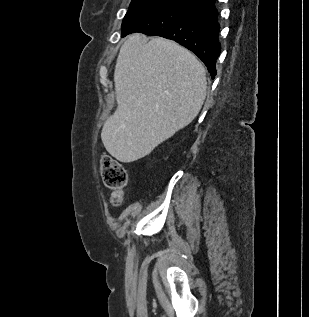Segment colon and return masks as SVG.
Here are the masks:
<instances>
[{"mask_svg": "<svg viewBox=\"0 0 309 317\" xmlns=\"http://www.w3.org/2000/svg\"><path fill=\"white\" fill-rule=\"evenodd\" d=\"M101 175L104 184L113 191L112 204L119 205L123 198V188L127 183L125 168L115 159L104 156L101 158Z\"/></svg>", "mask_w": 309, "mask_h": 317, "instance_id": "1", "label": "colon"}]
</instances>
